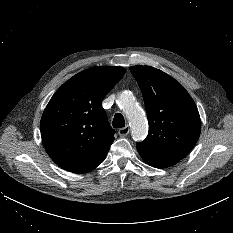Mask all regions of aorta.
<instances>
[{"mask_svg": "<svg viewBox=\"0 0 233 233\" xmlns=\"http://www.w3.org/2000/svg\"><path fill=\"white\" fill-rule=\"evenodd\" d=\"M119 104L123 108L131 127L134 140L141 141L148 132L147 122L141 108L136 105L135 98L130 92H123L119 96Z\"/></svg>", "mask_w": 233, "mask_h": 233, "instance_id": "aorta-1", "label": "aorta"}]
</instances>
